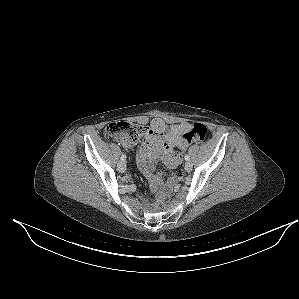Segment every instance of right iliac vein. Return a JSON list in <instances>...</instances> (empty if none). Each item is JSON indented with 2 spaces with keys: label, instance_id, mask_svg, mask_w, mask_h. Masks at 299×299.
<instances>
[{
  "label": "right iliac vein",
  "instance_id": "1",
  "mask_svg": "<svg viewBox=\"0 0 299 299\" xmlns=\"http://www.w3.org/2000/svg\"><path fill=\"white\" fill-rule=\"evenodd\" d=\"M117 170L120 172V173H124L125 170H126V164L124 161H120L117 165Z\"/></svg>",
  "mask_w": 299,
  "mask_h": 299
}]
</instances>
